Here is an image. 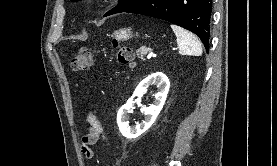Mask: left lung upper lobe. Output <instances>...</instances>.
I'll return each mask as SVG.
<instances>
[{"label": "left lung upper lobe", "instance_id": "left-lung-upper-lobe-1", "mask_svg": "<svg viewBox=\"0 0 277 166\" xmlns=\"http://www.w3.org/2000/svg\"><path fill=\"white\" fill-rule=\"evenodd\" d=\"M79 0H71V2H77ZM120 3L114 9L108 11L105 16L124 12L133 6L137 5L142 0H119Z\"/></svg>", "mask_w": 277, "mask_h": 166}]
</instances>
